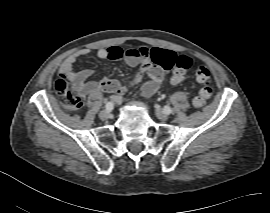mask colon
Returning <instances> with one entry per match:
<instances>
[{
    "instance_id": "1",
    "label": "colon",
    "mask_w": 270,
    "mask_h": 213,
    "mask_svg": "<svg viewBox=\"0 0 270 213\" xmlns=\"http://www.w3.org/2000/svg\"><path fill=\"white\" fill-rule=\"evenodd\" d=\"M112 56L116 59L138 56L140 58L151 60L153 63L161 66L164 70L171 72V81L173 83L182 82L186 76L187 70L193 64L192 59L185 55L175 56L168 51H150L144 47L115 50L112 53ZM193 72L196 80L202 84V88L193 99V106L196 109H201L212 95L211 73L204 64H195L193 66ZM54 89L61 96V102L66 108L78 110L83 107V101L68 90L63 81H56Z\"/></svg>"
}]
</instances>
